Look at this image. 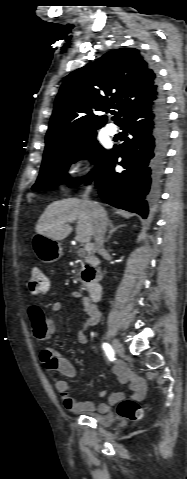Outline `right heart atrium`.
Segmentation results:
<instances>
[{
  "mask_svg": "<svg viewBox=\"0 0 187 479\" xmlns=\"http://www.w3.org/2000/svg\"><path fill=\"white\" fill-rule=\"evenodd\" d=\"M76 170H77V167L74 166V165H71V166L67 169V174H68V175H72V174H74V173L76 172Z\"/></svg>",
  "mask_w": 187,
  "mask_h": 479,
  "instance_id": "1",
  "label": "right heart atrium"
}]
</instances>
